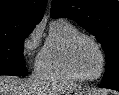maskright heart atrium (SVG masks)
Instances as JSON below:
<instances>
[{
  "label": "right heart atrium",
  "instance_id": "d8ad5b80",
  "mask_svg": "<svg viewBox=\"0 0 119 95\" xmlns=\"http://www.w3.org/2000/svg\"><path fill=\"white\" fill-rule=\"evenodd\" d=\"M42 30L39 25L35 26L24 38L22 52L25 57L31 54L38 48L41 41Z\"/></svg>",
  "mask_w": 119,
  "mask_h": 95
}]
</instances>
